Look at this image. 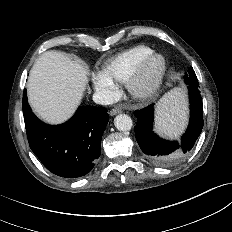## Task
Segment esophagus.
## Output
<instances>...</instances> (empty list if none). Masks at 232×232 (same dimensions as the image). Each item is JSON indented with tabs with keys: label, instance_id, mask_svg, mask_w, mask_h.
Wrapping results in <instances>:
<instances>
[{
	"label": "esophagus",
	"instance_id": "1",
	"mask_svg": "<svg viewBox=\"0 0 232 232\" xmlns=\"http://www.w3.org/2000/svg\"><path fill=\"white\" fill-rule=\"evenodd\" d=\"M119 113H121V109H120V108H117V107L111 109V111H110V115H111V116L117 115V114H119Z\"/></svg>",
	"mask_w": 232,
	"mask_h": 232
}]
</instances>
